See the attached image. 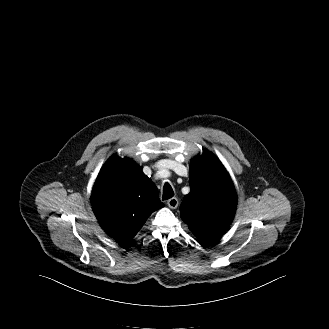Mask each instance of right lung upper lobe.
<instances>
[{
  "instance_id": "obj_1",
  "label": "right lung upper lobe",
  "mask_w": 329,
  "mask_h": 329,
  "mask_svg": "<svg viewBox=\"0 0 329 329\" xmlns=\"http://www.w3.org/2000/svg\"><path fill=\"white\" fill-rule=\"evenodd\" d=\"M104 231L119 243L131 240L147 218L164 204L152 181L131 159L113 155L101 169L91 195Z\"/></svg>"
}]
</instances>
